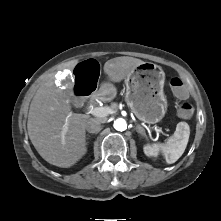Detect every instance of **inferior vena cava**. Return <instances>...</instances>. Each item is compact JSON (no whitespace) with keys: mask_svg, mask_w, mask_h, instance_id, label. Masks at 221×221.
I'll use <instances>...</instances> for the list:
<instances>
[{"mask_svg":"<svg viewBox=\"0 0 221 221\" xmlns=\"http://www.w3.org/2000/svg\"><path fill=\"white\" fill-rule=\"evenodd\" d=\"M85 129L89 133H97L101 129V121L98 119L90 118L86 121Z\"/></svg>","mask_w":221,"mask_h":221,"instance_id":"602c4592","label":"inferior vena cava"}]
</instances>
